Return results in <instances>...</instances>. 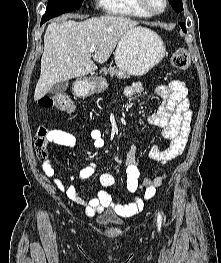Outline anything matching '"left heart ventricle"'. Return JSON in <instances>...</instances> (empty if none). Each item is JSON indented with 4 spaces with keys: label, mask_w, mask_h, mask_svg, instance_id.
I'll return each mask as SVG.
<instances>
[{
    "label": "left heart ventricle",
    "mask_w": 221,
    "mask_h": 263,
    "mask_svg": "<svg viewBox=\"0 0 221 263\" xmlns=\"http://www.w3.org/2000/svg\"><path fill=\"white\" fill-rule=\"evenodd\" d=\"M150 6L155 10H160L163 7V0H149Z\"/></svg>",
    "instance_id": "left-heart-ventricle-1"
}]
</instances>
